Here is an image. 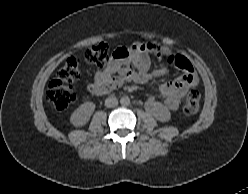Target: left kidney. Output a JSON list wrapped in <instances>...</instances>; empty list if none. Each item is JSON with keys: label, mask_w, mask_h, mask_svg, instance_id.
<instances>
[{"label": "left kidney", "mask_w": 248, "mask_h": 194, "mask_svg": "<svg viewBox=\"0 0 248 194\" xmlns=\"http://www.w3.org/2000/svg\"><path fill=\"white\" fill-rule=\"evenodd\" d=\"M158 107L160 109V112L154 113L155 118L159 121H162V122L169 120L170 113H169L168 109L159 103H158Z\"/></svg>", "instance_id": "left-kidney-1"}]
</instances>
